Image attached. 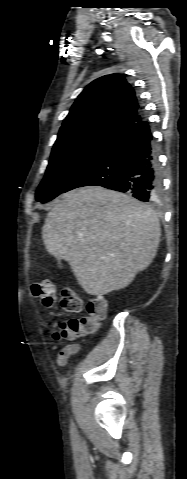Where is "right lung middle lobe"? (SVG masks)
<instances>
[{"mask_svg": "<svg viewBox=\"0 0 187 479\" xmlns=\"http://www.w3.org/2000/svg\"><path fill=\"white\" fill-rule=\"evenodd\" d=\"M124 131L91 125L58 135L45 177L36 191V199L47 202L58 196L69 182L97 159Z\"/></svg>", "mask_w": 187, "mask_h": 479, "instance_id": "right-lung-middle-lobe-1", "label": "right lung middle lobe"}]
</instances>
